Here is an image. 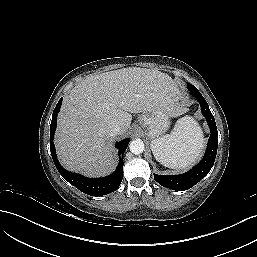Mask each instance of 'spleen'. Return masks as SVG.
<instances>
[{
	"mask_svg": "<svg viewBox=\"0 0 257 257\" xmlns=\"http://www.w3.org/2000/svg\"><path fill=\"white\" fill-rule=\"evenodd\" d=\"M204 148L203 132L189 116L179 119L173 131L151 142L156 160L169 168H186L194 163Z\"/></svg>",
	"mask_w": 257,
	"mask_h": 257,
	"instance_id": "1",
	"label": "spleen"
}]
</instances>
